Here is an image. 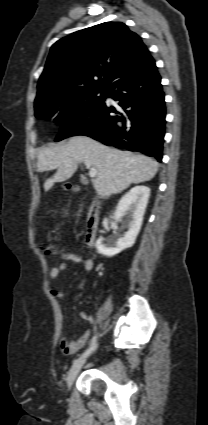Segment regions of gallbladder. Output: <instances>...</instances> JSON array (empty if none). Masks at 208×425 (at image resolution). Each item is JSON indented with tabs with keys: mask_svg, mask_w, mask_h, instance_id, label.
<instances>
[{
	"mask_svg": "<svg viewBox=\"0 0 208 425\" xmlns=\"http://www.w3.org/2000/svg\"><path fill=\"white\" fill-rule=\"evenodd\" d=\"M80 180H81V182H82L83 184H85V183H86V180H85V178H84L83 176H81Z\"/></svg>",
	"mask_w": 208,
	"mask_h": 425,
	"instance_id": "obj_1",
	"label": "gallbladder"
}]
</instances>
